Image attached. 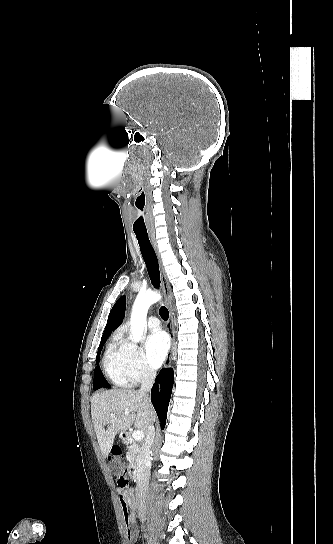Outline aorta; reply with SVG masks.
<instances>
[{
	"label": "aorta",
	"mask_w": 333,
	"mask_h": 544,
	"mask_svg": "<svg viewBox=\"0 0 333 544\" xmlns=\"http://www.w3.org/2000/svg\"><path fill=\"white\" fill-rule=\"evenodd\" d=\"M159 293L154 291L140 292L134 302L130 318V339L140 342L147 327V312L149 307L159 301Z\"/></svg>",
	"instance_id": "obj_1"
}]
</instances>
